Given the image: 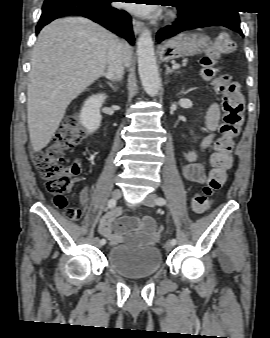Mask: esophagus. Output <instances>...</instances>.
Returning <instances> with one entry per match:
<instances>
[{
	"mask_svg": "<svg viewBox=\"0 0 270 338\" xmlns=\"http://www.w3.org/2000/svg\"><path fill=\"white\" fill-rule=\"evenodd\" d=\"M133 30L136 35H138L144 29V23L135 18L132 19Z\"/></svg>",
	"mask_w": 270,
	"mask_h": 338,
	"instance_id": "1",
	"label": "esophagus"
}]
</instances>
